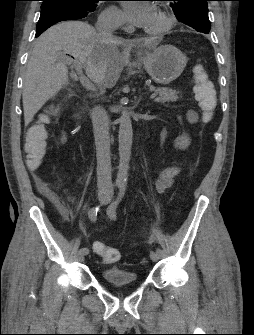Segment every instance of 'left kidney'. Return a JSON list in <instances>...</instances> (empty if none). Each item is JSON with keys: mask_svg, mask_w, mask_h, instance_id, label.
Instances as JSON below:
<instances>
[{"mask_svg": "<svg viewBox=\"0 0 254 335\" xmlns=\"http://www.w3.org/2000/svg\"><path fill=\"white\" fill-rule=\"evenodd\" d=\"M178 120L181 121V117H178ZM190 142L191 140L189 136L186 133H183L182 136L176 138V140L174 141V146L175 148L185 150L190 145Z\"/></svg>", "mask_w": 254, "mask_h": 335, "instance_id": "obj_1", "label": "left kidney"}]
</instances>
